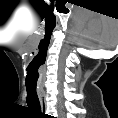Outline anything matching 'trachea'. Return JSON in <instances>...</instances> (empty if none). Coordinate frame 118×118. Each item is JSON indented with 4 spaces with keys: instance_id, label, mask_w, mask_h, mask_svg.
Here are the masks:
<instances>
[{
    "instance_id": "1",
    "label": "trachea",
    "mask_w": 118,
    "mask_h": 118,
    "mask_svg": "<svg viewBox=\"0 0 118 118\" xmlns=\"http://www.w3.org/2000/svg\"><path fill=\"white\" fill-rule=\"evenodd\" d=\"M27 91V104L30 108L41 112L40 101L36 89L26 88Z\"/></svg>"
}]
</instances>
